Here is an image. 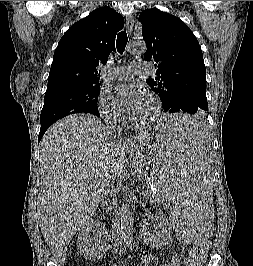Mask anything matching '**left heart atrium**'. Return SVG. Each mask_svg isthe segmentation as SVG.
I'll list each match as a JSON object with an SVG mask.
<instances>
[{"mask_svg":"<svg viewBox=\"0 0 253 266\" xmlns=\"http://www.w3.org/2000/svg\"><path fill=\"white\" fill-rule=\"evenodd\" d=\"M123 110L131 117H136L145 100L143 91L133 85H120L116 88Z\"/></svg>","mask_w":253,"mask_h":266,"instance_id":"left-heart-atrium-1","label":"left heart atrium"}]
</instances>
